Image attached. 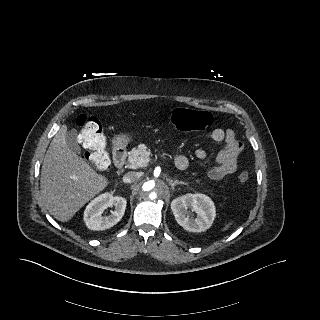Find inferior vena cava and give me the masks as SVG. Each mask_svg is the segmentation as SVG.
<instances>
[{"label":"inferior vena cava","mask_w":320,"mask_h":320,"mask_svg":"<svg viewBox=\"0 0 320 320\" xmlns=\"http://www.w3.org/2000/svg\"><path fill=\"white\" fill-rule=\"evenodd\" d=\"M138 178H139V173L135 172V171H131V172L126 173L123 176V182L124 183H132V182L136 181Z\"/></svg>","instance_id":"inferior-vena-cava-1"}]
</instances>
